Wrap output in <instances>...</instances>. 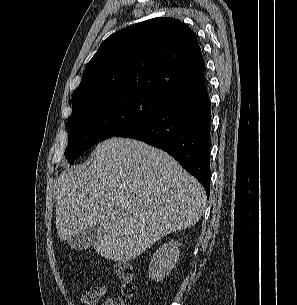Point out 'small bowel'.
I'll return each mask as SVG.
<instances>
[{"label":"small bowel","instance_id":"obj_1","mask_svg":"<svg viewBox=\"0 0 297 305\" xmlns=\"http://www.w3.org/2000/svg\"><path fill=\"white\" fill-rule=\"evenodd\" d=\"M108 292L107 285H101L94 288H90L85 291L81 298V305H97L98 302L103 298ZM101 305H115V297H107Z\"/></svg>","mask_w":297,"mask_h":305}]
</instances>
